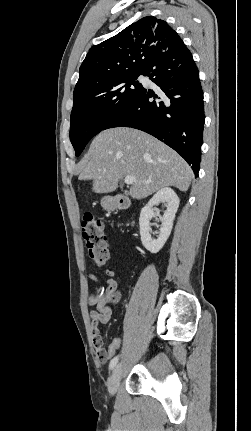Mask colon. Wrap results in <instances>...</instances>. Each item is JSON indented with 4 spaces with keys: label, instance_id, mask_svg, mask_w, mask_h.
I'll return each instance as SVG.
<instances>
[{
    "label": "colon",
    "instance_id": "1",
    "mask_svg": "<svg viewBox=\"0 0 251 431\" xmlns=\"http://www.w3.org/2000/svg\"><path fill=\"white\" fill-rule=\"evenodd\" d=\"M82 237L86 243L90 259L98 266L105 265L109 258V252L102 222L95 219L91 214L85 215L82 222ZM121 343L122 339L115 337L107 345L109 360L115 358Z\"/></svg>",
    "mask_w": 251,
    "mask_h": 431
}]
</instances>
